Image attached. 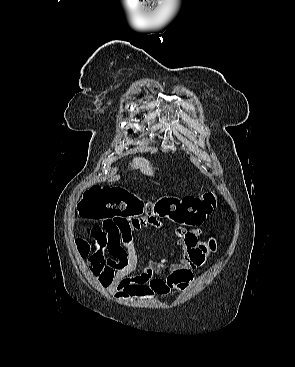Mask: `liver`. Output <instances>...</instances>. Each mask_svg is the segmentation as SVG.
Segmentation results:
<instances>
[{
	"label": "liver",
	"mask_w": 295,
	"mask_h": 367,
	"mask_svg": "<svg viewBox=\"0 0 295 367\" xmlns=\"http://www.w3.org/2000/svg\"><path fill=\"white\" fill-rule=\"evenodd\" d=\"M131 167L135 169H139L143 174L152 176L154 175L153 167L151 166L150 162L142 157H135L131 163ZM120 179L119 175L114 176L111 178V181H117Z\"/></svg>",
	"instance_id": "obj_1"
}]
</instances>
